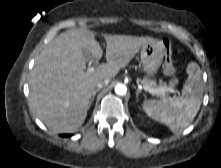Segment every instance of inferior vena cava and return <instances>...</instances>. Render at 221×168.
I'll list each match as a JSON object with an SVG mask.
<instances>
[{"label":"inferior vena cava","mask_w":221,"mask_h":168,"mask_svg":"<svg viewBox=\"0 0 221 168\" xmlns=\"http://www.w3.org/2000/svg\"><path fill=\"white\" fill-rule=\"evenodd\" d=\"M109 81L110 79L109 78H105V79H102L100 80L98 83H97V89H101L103 88L104 86H107L109 84Z\"/></svg>","instance_id":"inferior-vena-cava-1"}]
</instances>
